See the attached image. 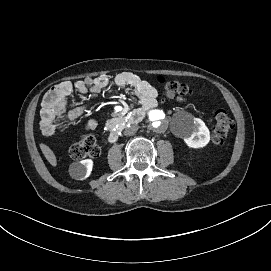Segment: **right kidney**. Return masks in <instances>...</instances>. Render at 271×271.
Wrapping results in <instances>:
<instances>
[{"label":"right kidney","instance_id":"right-kidney-1","mask_svg":"<svg viewBox=\"0 0 271 271\" xmlns=\"http://www.w3.org/2000/svg\"><path fill=\"white\" fill-rule=\"evenodd\" d=\"M93 167L91 159H85L80 162H74L69 166L71 177L77 180H84L90 176Z\"/></svg>","mask_w":271,"mask_h":271}]
</instances>
